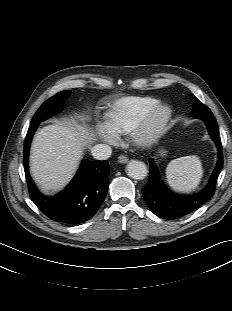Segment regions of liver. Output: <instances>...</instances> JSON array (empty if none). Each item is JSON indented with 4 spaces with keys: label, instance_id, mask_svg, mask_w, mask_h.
Here are the masks:
<instances>
[{
    "label": "liver",
    "instance_id": "6515ba94",
    "mask_svg": "<svg viewBox=\"0 0 232 311\" xmlns=\"http://www.w3.org/2000/svg\"><path fill=\"white\" fill-rule=\"evenodd\" d=\"M86 126L58 122L41 128L34 137L30 169L44 192L61 190L75 174L84 147L94 139Z\"/></svg>",
    "mask_w": 232,
    "mask_h": 311
}]
</instances>
